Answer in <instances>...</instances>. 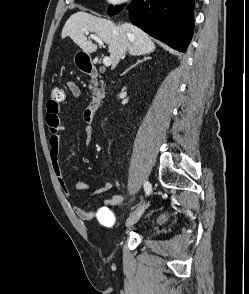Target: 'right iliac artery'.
I'll return each mask as SVG.
<instances>
[{
  "mask_svg": "<svg viewBox=\"0 0 249 294\" xmlns=\"http://www.w3.org/2000/svg\"><path fill=\"white\" fill-rule=\"evenodd\" d=\"M143 185H144L146 195H149L151 192V184L148 181H145Z\"/></svg>",
  "mask_w": 249,
  "mask_h": 294,
  "instance_id": "82829eb1",
  "label": "right iliac artery"
}]
</instances>
